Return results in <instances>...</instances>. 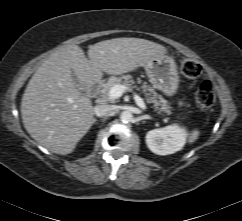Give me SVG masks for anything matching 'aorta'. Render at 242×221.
Instances as JSON below:
<instances>
[{
  "mask_svg": "<svg viewBox=\"0 0 242 221\" xmlns=\"http://www.w3.org/2000/svg\"><path fill=\"white\" fill-rule=\"evenodd\" d=\"M132 118H133V115L130 111H123L121 114H120V120L123 122V123H129L132 121Z\"/></svg>",
  "mask_w": 242,
  "mask_h": 221,
  "instance_id": "762f6f07",
  "label": "aorta"
}]
</instances>
